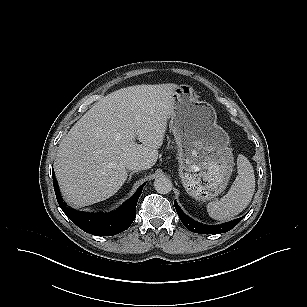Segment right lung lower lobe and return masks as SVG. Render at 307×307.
<instances>
[{
  "label": "right lung lower lobe",
  "mask_w": 307,
  "mask_h": 307,
  "mask_svg": "<svg viewBox=\"0 0 307 307\" xmlns=\"http://www.w3.org/2000/svg\"><path fill=\"white\" fill-rule=\"evenodd\" d=\"M52 175L53 186L59 206L66 216L83 231L97 236H112L128 229L134 221L137 201L145 183L116 211L112 213H87L76 211L66 206L61 198L53 171Z\"/></svg>",
  "instance_id": "1"
}]
</instances>
